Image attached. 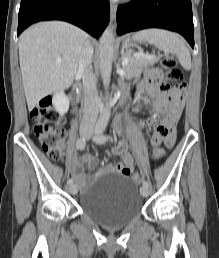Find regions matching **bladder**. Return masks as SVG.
Segmentation results:
<instances>
[{"instance_id": "31cf9c89", "label": "bladder", "mask_w": 219, "mask_h": 258, "mask_svg": "<svg viewBox=\"0 0 219 258\" xmlns=\"http://www.w3.org/2000/svg\"><path fill=\"white\" fill-rule=\"evenodd\" d=\"M79 207L104 226L122 227L140 215L143 201L125 175L105 172L81 193Z\"/></svg>"}]
</instances>
